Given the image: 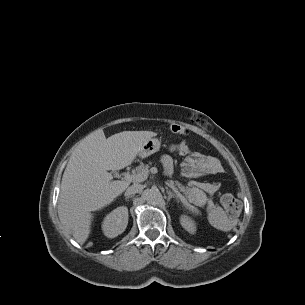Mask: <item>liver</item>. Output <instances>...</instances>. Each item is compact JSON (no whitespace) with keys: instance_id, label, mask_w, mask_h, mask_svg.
I'll list each match as a JSON object with an SVG mask.
<instances>
[{"instance_id":"liver-1","label":"liver","mask_w":305,"mask_h":305,"mask_svg":"<svg viewBox=\"0 0 305 305\" xmlns=\"http://www.w3.org/2000/svg\"><path fill=\"white\" fill-rule=\"evenodd\" d=\"M152 131H123L108 138L102 130L89 134L71 154L61 181L58 216L79 243L91 232L92 214L110 204L129 186L112 180L109 170L132 164Z\"/></svg>"}]
</instances>
